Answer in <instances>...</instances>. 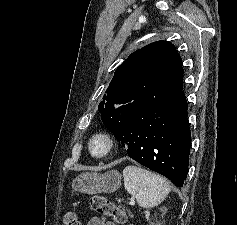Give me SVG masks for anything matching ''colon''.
<instances>
[{"mask_svg": "<svg viewBox=\"0 0 237 225\" xmlns=\"http://www.w3.org/2000/svg\"><path fill=\"white\" fill-rule=\"evenodd\" d=\"M90 207L101 215L112 217L118 224H123L127 220L125 211L104 196H92L90 198ZM63 225H80L78 215L74 211L66 212L63 217Z\"/></svg>", "mask_w": 237, "mask_h": 225, "instance_id": "1", "label": "colon"}]
</instances>
